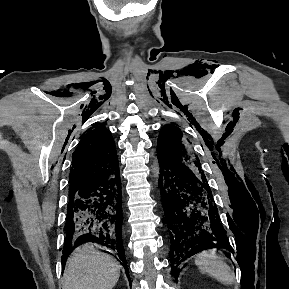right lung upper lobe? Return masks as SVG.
I'll use <instances>...</instances> for the list:
<instances>
[{"label":"right lung upper lobe","mask_w":289,"mask_h":289,"mask_svg":"<svg viewBox=\"0 0 289 289\" xmlns=\"http://www.w3.org/2000/svg\"><path fill=\"white\" fill-rule=\"evenodd\" d=\"M119 172L116 147L104 126L92 127L72 155L69 191L81 189L104 175Z\"/></svg>","instance_id":"right-lung-upper-lobe-1"}]
</instances>
